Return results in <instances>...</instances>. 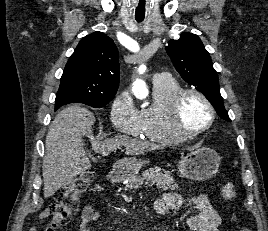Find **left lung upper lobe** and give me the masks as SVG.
Instances as JSON below:
<instances>
[{
  "label": "left lung upper lobe",
  "mask_w": 268,
  "mask_h": 231,
  "mask_svg": "<svg viewBox=\"0 0 268 231\" xmlns=\"http://www.w3.org/2000/svg\"><path fill=\"white\" fill-rule=\"evenodd\" d=\"M166 51L181 77L202 92L217 114L230 122L220 94L217 72L200 38L192 33H181L180 39L168 41Z\"/></svg>",
  "instance_id": "obj_1"
}]
</instances>
